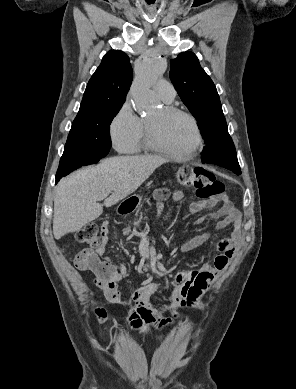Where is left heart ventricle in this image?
I'll return each instance as SVG.
<instances>
[{"mask_svg":"<svg viewBox=\"0 0 296 389\" xmlns=\"http://www.w3.org/2000/svg\"><path fill=\"white\" fill-rule=\"evenodd\" d=\"M147 122L157 142L172 151L184 152L194 142L193 127L183 116L167 114L161 108L150 115Z\"/></svg>","mask_w":296,"mask_h":389,"instance_id":"b2bd125f","label":"left heart ventricle"}]
</instances>
